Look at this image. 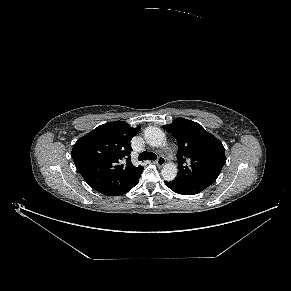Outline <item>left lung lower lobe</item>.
I'll list each match as a JSON object with an SVG mask.
<instances>
[{
    "instance_id": "left-lung-lower-lobe-1",
    "label": "left lung lower lobe",
    "mask_w": 291,
    "mask_h": 291,
    "mask_svg": "<svg viewBox=\"0 0 291 291\" xmlns=\"http://www.w3.org/2000/svg\"><path fill=\"white\" fill-rule=\"evenodd\" d=\"M213 183L211 180L186 181L175 178L172 181H165V184L172 191L182 195H194L200 193Z\"/></svg>"
}]
</instances>
